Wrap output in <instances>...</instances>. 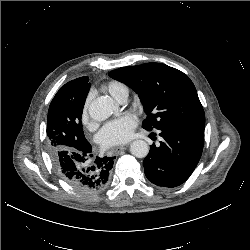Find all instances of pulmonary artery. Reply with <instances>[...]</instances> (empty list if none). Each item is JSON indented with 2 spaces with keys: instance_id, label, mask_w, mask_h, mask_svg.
<instances>
[{
  "instance_id": "obj_1",
  "label": "pulmonary artery",
  "mask_w": 250,
  "mask_h": 250,
  "mask_svg": "<svg viewBox=\"0 0 250 250\" xmlns=\"http://www.w3.org/2000/svg\"><path fill=\"white\" fill-rule=\"evenodd\" d=\"M127 98H128V96H127V95H124V96H122V97L118 100V102L121 103V104H123V103H125V102L127 101Z\"/></svg>"
}]
</instances>
